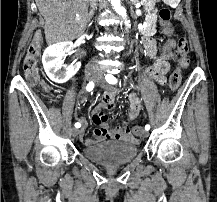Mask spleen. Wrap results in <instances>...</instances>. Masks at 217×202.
Masks as SVG:
<instances>
[{
  "label": "spleen",
  "mask_w": 217,
  "mask_h": 202,
  "mask_svg": "<svg viewBox=\"0 0 217 202\" xmlns=\"http://www.w3.org/2000/svg\"><path fill=\"white\" fill-rule=\"evenodd\" d=\"M166 5L168 7H179V2L178 0H166Z\"/></svg>",
  "instance_id": "obj_1"
}]
</instances>
